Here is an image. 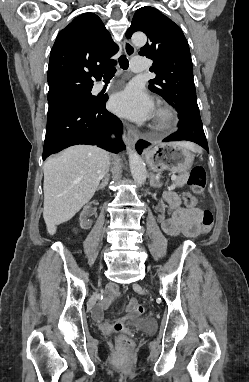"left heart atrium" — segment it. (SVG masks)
<instances>
[{
    "instance_id": "left-heart-atrium-1",
    "label": "left heart atrium",
    "mask_w": 249,
    "mask_h": 382,
    "mask_svg": "<svg viewBox=\"0 0 249 382\" xmlns=\"http://www.w3.org/2000/svg\"><path fill=\"white\" fill-rule=\"evenodd\" d=\"M110 107L115 113L136 121L150 118L154 111L151 98L142 88L135 85L128 86L113 95Z\"/></svg>"
}]
</instances>
